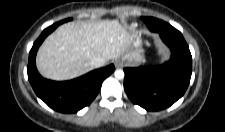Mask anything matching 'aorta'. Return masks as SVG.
Masks as SVG:
<instances>
[{
  "label": "aorta",
  "mask_w": 225,
  "mask_h": 132,
  "mask_svg": "<svg viewBox=\"0 0 225 132\" xmlns=\"http://www.w3.org/2000/svg\"><path fill=\"white\" fill-rule=\"evenodd\" d=\"M114 76H115L116 79L121 80V79L124 78L125 74H124V71L122 69H117L114 72Z\"/></svg>",
  "instance_id": "762f6f07"
}]
</instances>
